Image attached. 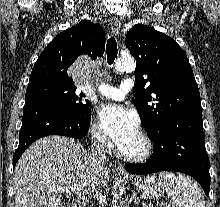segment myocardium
<instances>
[{
	"label": "myocardium",
	"instance_id": "obj_1",
	"mask_svg": "<svg viewBox=\"0 0 220 207\" xmlns=\"http://www.w3.org/2000/svg\"><path fill=\"white\" fill-rule=\"evenodd\" d=\"M138 134L144 144L143 150L138 154H125L117 148L116 153L121 159L129 162H143L152 155L154 150L153 140L145 131H139Z\"/></svg>",
	"mask_w": 220,
	"mask_h": 207
}]
</instances>
